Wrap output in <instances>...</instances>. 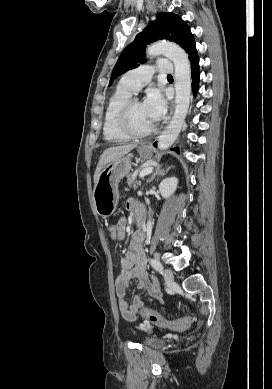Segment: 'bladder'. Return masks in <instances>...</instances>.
Returning <instances> with one entry per match:
<instances>
[{
  "instance_id": "1",
  "label": "bladder",
  "mask_w": 272,
  "mask_h": 389,
  "mask_svg": "<svg viewBox=\"0 0 272 389\" xmlns=\"http://www.w3.org/2000/svg\"><path fill=\"white\" fill-rule=\"evenodd\" d=\"M144 345L151 348H159L164 345V341L160 338H147L144 340Z\"/></svg>"
}]
</instances>
